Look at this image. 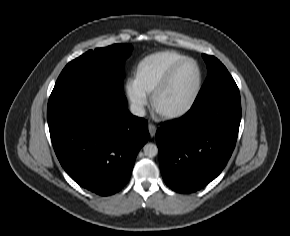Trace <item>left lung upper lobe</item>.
<instances>
[{
	"label": "left lung upper lobe",
	"mask_w": 290,
	"mask_h": 236,
	"mask_svg": "<svg viewBox=\"0 0 290 236\" xmlns=\"http://www.w3.org/2000/svg\"><path fill=\"white\" fill-rule=\"evenodd\" d=\"M202 57L207 64L208 75L194 104L222 90L237 86L226 67L217 58L206 54H202Z\"/></svg>",
	"instance_id": "5c2ea615"
}]
</instances>
